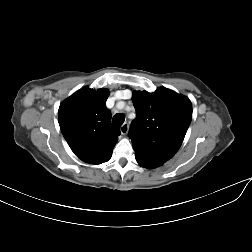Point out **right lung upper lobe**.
Returning a JSON list of instances; mask_svg holds the SVG:
<instances>
[{"mask_svg": "<svg viewBox=\"0 0 252 252\" xmlns=\"http://www.w3.org/2000/svg\"><path fill=\"white\" fill-rule=\"evenodd\" d=\"M108 89L81 88L59 107V125L72 151L90 164L107 162L118 136V127L110 123L111 113L106 108Z\"/></svg>", "mask_w": 252, "mask_h": 252, "instance_id": "obj_1", "label": "right lung upper lobe"}]
</instances>
